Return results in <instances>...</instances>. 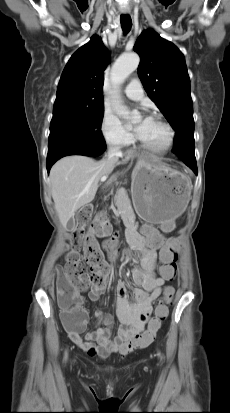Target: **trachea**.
I'll return each instance as SVG.
<instances>
[{
  "mask_svg": "<svg viewBox=\"0 0 230 413\" xmlns=\"http://www.w3.org/2000/svg\"><path fill=\"white\" fill-rule=\"evenodd\" d=\"M121 27L123 29L124 34H127L132 27V20L128 14H122L120 16Z\"/></svg>",
  "mask_w": 230,
  "mask_h": 413,
  "instance_id": "trachea-1",
  "label": "trachea"
}]
</instances>
